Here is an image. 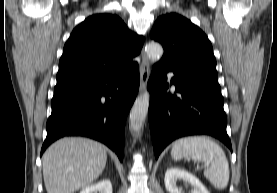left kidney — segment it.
I'll return each mask as SVG.
<instances>
[{"instance_id":"5707ae66","label":"left kidney","mask_w":277,"mask_h":193,"mask_svg":"<svg viewBox=\"0 0 277 193\" xmlns=\"http://www.w3.org/2000/svg\"><path fill=\"white\" fill-rule=\"evenodd\" d=\"M178 180L189 183L193 187L191 193H210L198 178L180 168H169L165 173L164 183L169 193H182V190L177 187Z\"/></svg>"}]
</instances>
